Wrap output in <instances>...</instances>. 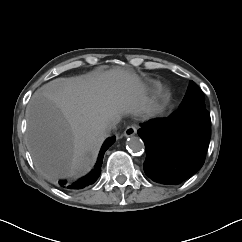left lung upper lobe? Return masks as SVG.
<instances>
[{
  "mask_svg": "<svg viewBox=\"0 0 242 242\" xmlns=\"http://www.w3.org/2000/svg\"><path fill=\"white\" fill-rule=\"evenodd\" d=\"M204 100L205 98L200 88L193 81H190L179 111H186L193 108H206Z\"/></svg>",
  "mask_w": 242,
  "mask_h": 242,
  "instance_id": "left-lung-upper-lobe-1",
  "label": "left lung upper lobe"
}]
</instances>
